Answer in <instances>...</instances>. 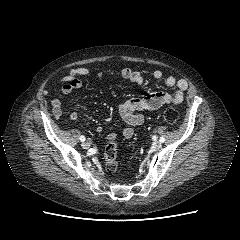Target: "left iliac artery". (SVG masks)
<instances>
[{
	"instance_id": "1",
	"label": "left iliac artery",
	"mask_w": 240,
	"mask_h": 240,
	"mask_svg": "<svg viewBox=\"0 0 240 240\" xmlns=\"http://www.w3.org/2000/svg\"><path fill=\"white\" fill-rule=\"evenodd\" d=\"M159 141H160V142H164V141H165V138L162 136V137H160Z\"/></svg>"
}]
</instances>
